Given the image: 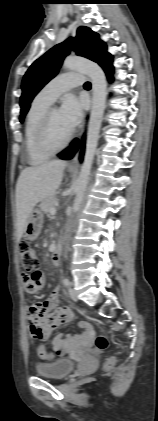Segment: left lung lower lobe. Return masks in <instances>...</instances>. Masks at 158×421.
Instances as JSON below:
<instances>
[{
  "label": "left lung lower lobe",
  "mask_w": 158,
  "mask_h": 421,
  "mask_svg": "<svg viewBox=\"0 0 158 421\" xmlns=\"http://www.w3.org/2000/svg\"><path fill=\"white\" fill-rule=\"evenodd\" d=\"M112 61H113V57L109 54L108 56H106L100 63H99V65L104 69V71L106 72V74H107V77H108V79L110 80V81H112V74H113V66H112ZM82 146H84V143H82ZM79 147H80V141H79V139H74L73 141H72V143H71V145H70V147L67 149V150H65V151H62L61 153H59L58 154V156L61 158V159H64V160H69V159H71L73 156H74V154L78 151V149H79ZM82 155H83V150H82V152H81V157H82Z\"/></svg>",
  "instance_id": "left-lung-lower-lobe-1"
}]
</instances>
